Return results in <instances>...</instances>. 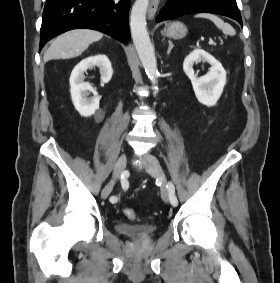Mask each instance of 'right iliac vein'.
Segmentation results:
<instances>
[{
    "label": "right iliac vein",
    "mask_w": 280,
    "mask_h": 283,
    "mask_svg": "<svg viewBox=\"0 0 280 283\" xmlns=\"http://www.w3.org/2000/svg\"><path fill=\"white\" fill-rule=\"evenodd\" d=\"M127 163L126 154H121L116 162L114 173H113V180L108 183L101 192V198L106 199L109 194L111 193L115 181L119 178L122 171L125 169Z\"/></svg>",
    "instance_id": "right-iliac-vein-1"
}]
</instances>
